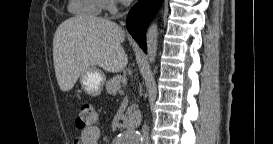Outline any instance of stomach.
Segmentation results:
<instances>
[{"instance_id":"obj_1","label":"stomach","mask_w":273,"mask_h":144,"mask_svg":"<svg viewBox=\"0 0 273 144\" xmlns=\"http://www.w3.org/2000/svg\"><path fill=\"white\" fill-rule=\"evenodd\" d=\"M105 80L104 73L97 67H90L80 76L82 89L91 96L101 94Z\"/></svg>"}]
</instances>
